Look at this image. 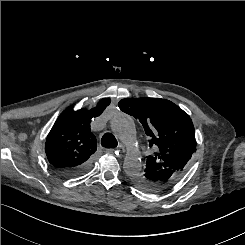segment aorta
Instances as JSON below:
<instances>
[{
	"mask_svg": "<svg viewBox=\"0 0 245 245\" xmlns=\"http://www.w3.org/2000/svg\"><path fill=\"white\" fill-rule=\"evenodd\" d=\"M110 127L127 150L123 163L125 173L130 177L139 175L142 163L137 154V136L133 120L128 115L119 113L111 120Z\"/></svg>",
	"mask_w": 245,
	"mask_h": 245,
	"instance_id": "aorta-1",
	"label": "aorta"
}]
</instances>
